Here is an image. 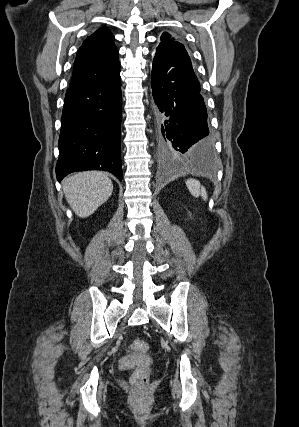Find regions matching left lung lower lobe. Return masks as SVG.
Returning a JSON list of instances; mask_svg holds the SVG:
<instances>
[{"instance_id":"1","label":"left lung lower lobe","mask_w":299,"mask_h":427,"mask_svg":"<svg viewBox=\"0 0 299 427\" xmlns=\"http://www.w3.org/2000/svg\"><path fill=\"white\" fill-rule=\"evenodd\" d=\"M151 83L158 114L160 157L166 162L189 160L196 170L213 172L214 151L207 110L183 44L178 41L159 44Z\"/></svg>"}]
</instances>
